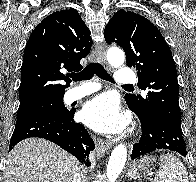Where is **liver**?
<instances>
[{"mask_svg":"<svg viewBox=\"0 0 196 182\" xmlns=\"http://www.w3.org/2000/svg\"><path fill=\"white\" fill-rule=\"evenodd\" d=\"M79 163L56 144L41 138H29L10 152L5 182H72Z\"/></svg>","mask_w":196,"mask_h":182,"instance_id":"obj_1","label":"liver"}]
</instances>
